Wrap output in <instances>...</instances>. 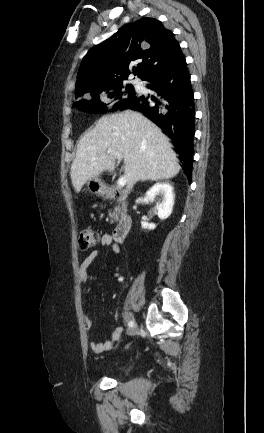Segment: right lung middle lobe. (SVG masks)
<instances>
[{"label":"right lung middle lobe","mask_w":264,"mask_h":433,"mask_svg":"<svg viewBox=\"0 0 264 433\" xmlns=\"http://www.w3.org/2000/svg\"><path fill=\"white\" fill-rule=\"evenodd\" d=\"M100 93L88 96L85 99L79 100L74 103L73 107H78L80 110L89 113H105L107 111V104L99 100ZM107 97L116 103L113 110L122 109L128 102L132 101L137 94L131 84L127 85L126 91H122V86L115 87L105 92Z\"/></svg>","instance_id":"1"}]
</instances>
